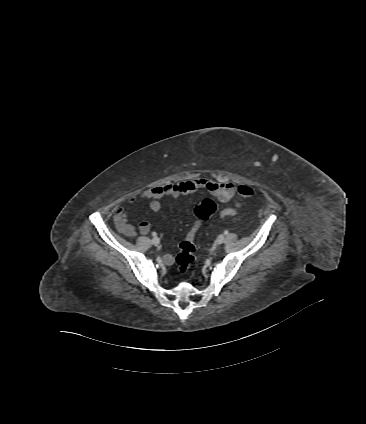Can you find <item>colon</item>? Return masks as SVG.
Segmentation results:
<instances>
[{
  "instance_id": "5ec220e1",
  "label": "colon",
  "mask_w": 366,
  "mask_h": 424,
  "mask_svg": "<svg viewBox=\"0 0 366 424\" xmlns=\"http://www.w3.org/2000/svg\"><path fill=\"white\" fill-rule=\"evenodd\" d=\"M238 193L242 199H249L254 195V189L249 185H240ZM216 211V204L211 199H205L194 209L196 221L190 228L187 236L179 246V253L176 257V266L180 274L187 273L195 260L196 243L195 238L202 223L209 219Z\"/></svg>"
}]
</instances>
